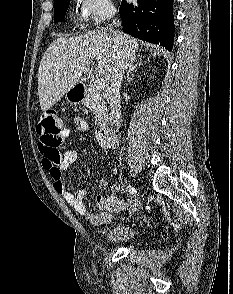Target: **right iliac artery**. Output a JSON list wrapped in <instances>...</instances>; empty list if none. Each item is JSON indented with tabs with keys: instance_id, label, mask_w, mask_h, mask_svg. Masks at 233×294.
I'll list each match as a JSON object with an SVG mask.
<instances>
[{
	"instance_id": "1",
	"label": "right iliac artery",
	"mask_w": 233,
	"mask_h": 294,
	"mask_svg": "<svg viewBox=\"0 0 233 294\" xmlns=\"http://www.w3.org/2000/svg\"><path fill=\"white\" fill-rule=\"evenodd\" d=\"M127 191L128 192H130L131 194H136L137 193V190L134 188V187H132V186H127Z\"/></svg>"
}]
</instances>
